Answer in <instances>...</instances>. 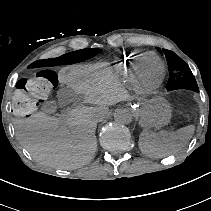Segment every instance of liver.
<instances>
[{"label":"liver","instance_id":"obj_1","mask_svg":"<svg viewBox=\"0 0 211 211\" xmlns=\"http://www.w3.org/2000/svg\"><path fill=\"white\" fill-rule=\"evenodd\" d=\"M59 82L73 89L90 105L68 109L65 121L40 111L18 120V141L40 163L57 169H75L86 165L97 150V114L102 119L107 107L125 100L117 84L92 77L90 67L73 66L59 74Z\"/></svg>","mask_w":211,"mask_h":211}]
</instances>
